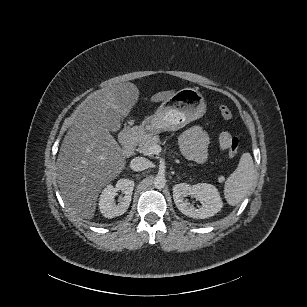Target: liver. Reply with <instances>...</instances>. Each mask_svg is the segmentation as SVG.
Here are the masks:
<instances>
[{"instance_id": "1", "label": "liver", "mask_w": 307, "mask_h": 307, "mask_svg": "<svg viewBox=\"0 0 307 307\" xmlns=\"http://www.w3.org/2000/svg\"><path fill=\"white\" fill-rule=\"evenodd\" d=\"M174 90L154 94L151 102L168 99ZM139 99V89L125 82L90 94L80 105L63 139L56 162L57 182L70 209L92 219L99 192L125 168L123 151L110 131L121 126Z\"/></svg>"}]
</instances>
